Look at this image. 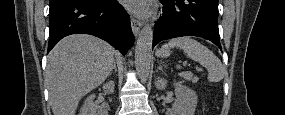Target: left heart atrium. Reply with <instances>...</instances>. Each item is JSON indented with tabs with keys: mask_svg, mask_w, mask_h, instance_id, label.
<instances>
[{
	"mask_svg": "<svg viewBox=\"0 0 285 115\" xmlns=\"http://www.w3.org/2000/svg\"><path fill=\"white\" fill-rule=\"evenodd\" d=\"M125 5L132 11L138 14H145L147 10L146 0H125Z\"/></svg>",
	"mask_w": 285,
	"mask_h": 115,
	"instance_id": "39dd6f15",
	"label": "left heart atrium"
}]
</instances>
